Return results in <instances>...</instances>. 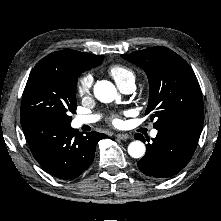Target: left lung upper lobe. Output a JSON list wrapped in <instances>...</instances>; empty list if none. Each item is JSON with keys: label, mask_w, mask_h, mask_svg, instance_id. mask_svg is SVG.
<instances>
[{"label": "left lung upper lobe", "mask_w": 221, "mask_h": 221, "mask_svg": "<svg viewBox=\"0 0 221 221\" xmlns=\"http://www.w3.org/2000/svg\"><path fill=\"white\" fill-rule=\"evenodd\" d=\"M122 57L148 75L150 95L146 114L156 119V129L182 122L203 125L201 89L182 57L165 47H151Z\"/></svg>", "instance_id": "5c2ea615"}]
</instances>
